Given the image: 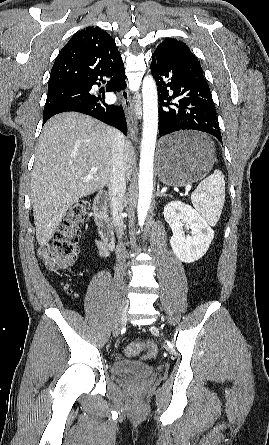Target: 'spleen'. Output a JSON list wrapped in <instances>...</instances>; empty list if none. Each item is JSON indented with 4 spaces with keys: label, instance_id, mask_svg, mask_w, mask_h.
Wrapping results in <instances>:
<instances>
[{
    "label": "spleen",
    "instance_id": "spleen-1",
    "mask_svg": "<svg viewBox=\"0 0 269 445\" xmlns=\"http://www.w3.org/2000/svg\"><path fill=\"white\" fill-rule=\"evenodd\" d=\"M195 209L205 221L215 226L221 215L225 201V180L220 170L202 180L191 195Z\"/></svg>",
    "mask_w": 269,
    "mask_h": 445
}]
</instances>
